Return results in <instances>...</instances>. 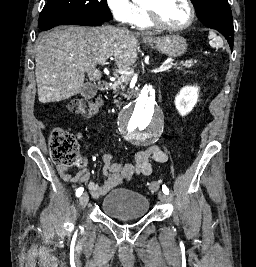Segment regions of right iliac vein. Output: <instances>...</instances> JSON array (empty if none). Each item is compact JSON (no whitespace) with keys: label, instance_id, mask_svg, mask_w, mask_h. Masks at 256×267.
Segmentation results:
<instances>
[{"label":"right iliac vein","instance_id":"1","mask_svg":"<svg viewBox=\"0 0 256 267\" xmlns=\"http://www.w3.org/2000/svg\"><path fill=\"white\" fill-rule=\"evenodd\" d=\"M88 202H89V196H88V194L87 193L82 194L81 197H80V199H79L80 206L82 208H85L86 205L88 204Z\"/></svg>","mask_w":256,"mask_h":267}]
</instances>
